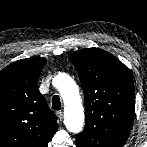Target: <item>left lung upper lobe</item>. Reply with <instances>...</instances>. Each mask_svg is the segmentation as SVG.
I'll return each mask as SVG.
<instances>
[{"instance_id":"left-lung-upper-lobe-1","label":"left lung upper lobe","mask_w":147,"mask_h":147,"mask_svg":"<svg viewBox=\"0 0 147 147\" xmlns=\"http://www.w3.org/2000/svg\"><path fill=\"white\" fill-rule=\"evenodd\" d=\"M85 99V128L76 147H123L132 128L134 83L128 68L99 48L82 49L69 56Z\"/></svg>"}]
</instances>
